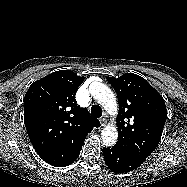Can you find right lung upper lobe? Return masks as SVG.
<instances>
[{
	"label": "right lung upper lobe",
	"mask_w": 187,
	"mask_h": 187,
	"mask_svg": "<svg viewBox=\"0 0 187 187\" xmlns=\"http://www.w3.org/2000/svg\"><path fill=\"white\" fill-rule=\"evenodd\" d=\"M84 77L71 70L55 71L31 84L24 97V122L38 155L55 167L67 166L100 122L75 101Z\"/></svg>",
	"instance_id": "cb5924a9"
}]
</instances>
